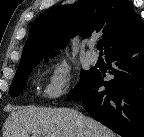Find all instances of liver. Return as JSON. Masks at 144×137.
<instances>
[{
  "instance_id": "liver-1",
  "label": "liver",
  "mask_w": 144,
  "mask_h": 137,
  "mask_svg": "<svg viewBox=\"0 0 144 137\" xmlns=\"http://www.w3.org/2000/svg\"><path fill=\"white\" fill-rule=\"evenodd\" d=\"M115 137L110 129L70 108L19 107L6 119L3 137Z\"/></svg>"
}]
</instances>
